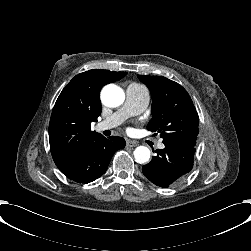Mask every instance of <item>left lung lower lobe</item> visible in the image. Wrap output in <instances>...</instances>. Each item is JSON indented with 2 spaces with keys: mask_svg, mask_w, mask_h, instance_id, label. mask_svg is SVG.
Listing matches in <instances>:
<instances>
[{
  "mask_svg": "<svg viewBox=\"0 0 251 251\" xmlns=\"http://www.w3.org/2000/svg\"><path fill=\"white\" fill-rule=\"evenodd\" d=\"M195 150L194 147L168 146L157 149V155L142 167V172L155 185L167 188L191 171Z\"/></svg>",
  "mask_w": 251,
  "mask_h": 251,
  "instance_id": "1",
  "label": "left lung lower lobe"
}]
</instances>
